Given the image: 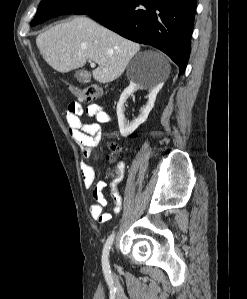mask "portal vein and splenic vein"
<instances>
[{
    "instance_id": "18ae733b",
    "label": "portal vein and splenic vein",
    "mask_w": 247,
    "mask_h": 299,
    "mask_svg": "<svg viewBox=\"0 0 247 299\" xmlns=\"http://www.w3.org/2000/svg\"><path fill=\"white\" fill-rule=\"evenodd\" d=\"M90 66H91V67H95L96 64H95L94 62L90 61Z\"/></svg>"
}]
</instances>
